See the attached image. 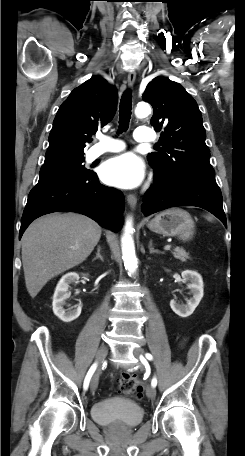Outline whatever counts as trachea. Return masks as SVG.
Masks as SVG:
<instances>
[{
  "label": "trachea",
  "instance_id": "3493384b",
  "mask_svg": "<svg viewBox=\"0 0 245 456\" xmlns=\"http://www.w3.org/2000/svg\"><path fill=\"white\" fill-rule=\"evenodd\" d=\"M132 109V95L130 90H126L120 101L119 106V132H124L128 129Z\"/></svg>",
  "mask_w": 245,
  "mask_h": 456
}]
</instances>
